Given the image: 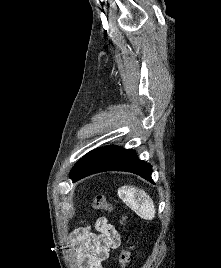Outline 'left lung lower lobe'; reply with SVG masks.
Returning <instances> with one entry per match:
<instances>
[{
    "instance_id": "0a47b994",
    "label": "left lung lower lobe",
    "mask_w": 221,
    "mask_h": 268,
    "mask_svg": "<svg viewBox=\"0 0 221 268\" xmlns=\"http://www.w3.org/2000/svg\"><path fill=\"white\" fill-rule=\"evenodd\" d=\"M104 171L132 172L153 183L151 165L139 160L134 150L115 145L87 153L74 165L70 178L75 182L83 177Z\"/></svg>"
}]
</instances>
